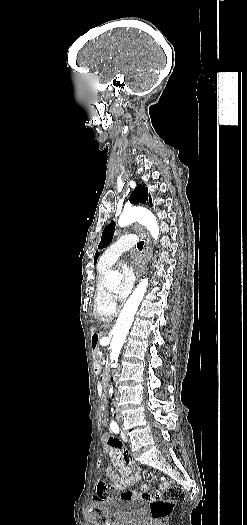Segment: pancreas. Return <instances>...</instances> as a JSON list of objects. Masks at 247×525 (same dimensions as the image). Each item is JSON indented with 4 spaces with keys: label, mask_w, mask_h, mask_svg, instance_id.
Here are the masks:
<instances>
[{
    "label": "pancreas",
    "mask_w": 247,
    "mask_h": 525,
    "mask_svg": "<svg viewBox=\"0 0 247 525\" xmlns=\"http://www.w3.org/2000/svg\"><path fill=\"white\" fill-rule=\"evenodd\" d=\"M99 352H100V349H96L95 356H94V359L96 361L102 360V356H100Z\"/></svg>",
    "instance_id": "1"
}]
</instances>
